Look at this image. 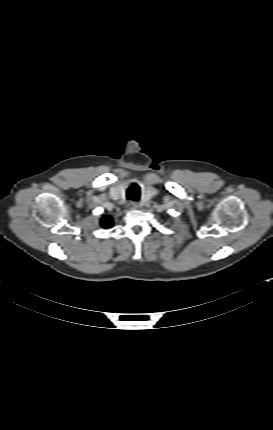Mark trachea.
<instances>
[{"mask_svg": "<svg viewBox=\"0 0 273 430\" xmlns=\"http://www.w3.org/2000/svg\"><path fill=\"white\" fill-rule=\"evenodd\" d=\"M140 196L139 187L136 184L131 185L127 190V197L130 200L137 201Z\"/></svg>", "mask_w": 273, "mask_h": 430, "instance_id": "1", "label": "trachea"}]
</instances>
